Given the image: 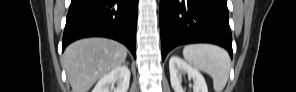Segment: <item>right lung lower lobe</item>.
Listing matches in <instances>:
<instances>
[{
	"label": "right lung lower lobe",
	"instance_id": "obj_1",
	"mask_svg": "<svg viewBox=\"0 0 296 92\" xmlns=\"http://www.w3.org/2000/svg\"><path fill=\"white\" fill-rule=\"evenodd\" d=\"M138 0H72L62 45L92 36L120 41L136 57Z\"/></svg>",
	"mask_w": 296,
	"mask_h": 92
}]
</instances>
